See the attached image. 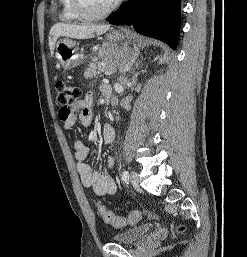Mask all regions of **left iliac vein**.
<instances>
[{
  "label": "left iliac vein",
  "mask_w": 247,
  "mask_h": 257,
  "mask_svg": "<svg viewBox=\"0 0 247 257\" xmlns=\"http://www.w3.org/2000/svg\"><path fill=\"white\" fill-rule=\"evenodd\" d=\"M130 182L133 185V187L139 186V176L138 173L135 171H132L130 174Z\"/></svg>",
  "instance_id": "4c4485c4"
}]
</instances>
